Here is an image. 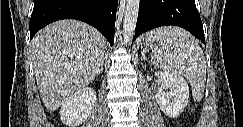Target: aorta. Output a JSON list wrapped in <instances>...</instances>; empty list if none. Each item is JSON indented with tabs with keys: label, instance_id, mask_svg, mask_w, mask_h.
<instances>
[{
	"label": "aorta",
	"instance_id": "obj_1",
	"mask_svg": "<svg viewBox=\"0 0 243 127\" xmlns=\"http://www.w3.org/2000/svg\"><path fill=\"white\" fill-rule=\"evenodd\" d=\"M140 0H127L123 19V40L130 45L134 35Z\"/></svg>",
	"mask_w": 243,
	"mask_h": 127
}]
</instances>
